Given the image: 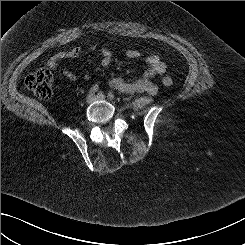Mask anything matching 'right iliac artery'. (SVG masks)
Masks as SVG:
<instances>
[{"instance_id":"82829eb1","label":"right iliac artery","mask_w":245,"mask_h":245,"mask_svg":"<svg viewBox=\"0 0 245 245\" xmlns=\"http://www.w3.org/2000/svg\"><path fill=\"white\" fill-rule=\"evenodd\" d=\"M97 95H103V92H102V91H99V92L97 93Z\"/></svg>"}]
</instances>
